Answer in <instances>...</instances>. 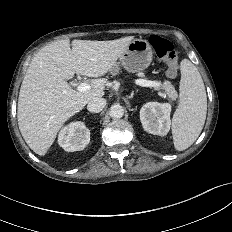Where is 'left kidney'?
Listing matches in <instances>:
<instances>
[{"label": "left kidney", "mask_w": 232, "mask_h": 232, "mask_svg": "<svg viewBox=\"0 0 232 232\" xmlns=\"http://www.w3.org/2000/svg\"><path fill=\"white\" fill-rule=\"evenodd\" d=\"M170 113L169 103H146L140 110V120L144 130L154 135H166L170 130Z\"/></svg>", "instance_id": "5707ae66"}]
</instances>
